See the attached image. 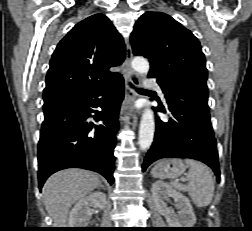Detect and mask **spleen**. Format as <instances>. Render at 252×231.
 I'll use <instances>...</instances> for the list:
<instances>
[{"mask_svg": "<svg viewBox=\"0 0 252 231\" xmlns=\"http://www.w3.org/2000/svg\"><path fill=\"white\" fill-rule=\"evenodd\" d=\"M185 163L189 166L187 173L188 185L171 181V186L179 191L187 192L197 207L208 206L214 196V180L210 170L196 160L186 159Z\"/></svg>", "mask_w": 252, "mask_h": 231, "instance_id": "1", "label": "spleen"}]
</instances>
